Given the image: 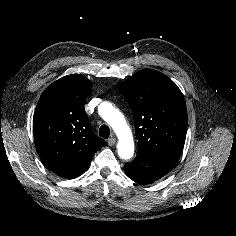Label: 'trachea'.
Returning a JSON list of instances; mask_svg holds the SVG:
<instances>
[{
	"label": "trachea",
	"mask_w": 236,
	"mask_h": 236,
	"mask_svg": "<svg viewBox=\"0 0 236 236\" xmlns=\"http://www.w3.org/2000/svg\"><path fill=\"white\" fill-rule=\"evenodd\" d=\"M110 135V129L107 125H102L99 129V136L107 139Z\"/></svg>",
	"instance_id": "obj_1"
}]
</instances>
